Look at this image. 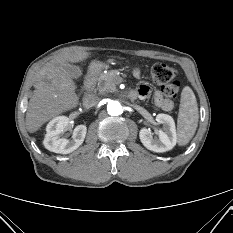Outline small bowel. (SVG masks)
<instances>
[{"label":"small bowel","instance_id":"c3829d8e","mask_svg":"<svg viewBox=\"0 0 233 233\" xmlns=\"http://www.w3.org/2000/svg\"><path fill=\"white\" fill-rule=\"evenodd\" d=\"M135 75L139 76V71L136 70ZM134 92L136 93V97L143 99L150 95L151 88L146 84H141ZM153 99L156 106L163 111H171L174 107L173 101L165 98L159 90L154 91Z\"/></svg>","mask_w":233,"mask_h":233}]
</instances>
